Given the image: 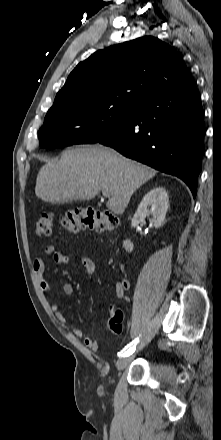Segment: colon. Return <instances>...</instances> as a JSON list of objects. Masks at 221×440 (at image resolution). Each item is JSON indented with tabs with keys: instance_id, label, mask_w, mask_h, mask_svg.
<instances>
[{
	"instance_id": "obj_1",
	"label": "colon",
	"mask_w": 221,
	"mask_h": 440,
	"mask_svg": "<svg viewBox=\"0 0 221 440\" xmlns=\"http://www.w3.org/2000/svg\"><path fill=\"white\" fill-rule=\"evenodd\" d=\"M118 217L111 212H98L90 208H75L67 210L61 217V226L70 233L81 230L96 232L112 231L118 226ZM53 217L42 214L35 226L36 234L40 237H49L52 233ZM122 312L117 309L109 317L108 326L114 334L121 332Z\"/></svg>"
}]
</instances>
